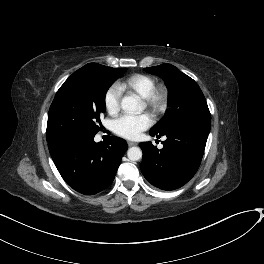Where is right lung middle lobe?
Segmentation results:
<instances>
[{
	"instance_id": "dd1d6c3e",
	"label": "right lung middle lobe",
	"mask_w": 264,
	"mask_h": 264,
	"mask_svg": "<svg viewBox=\"0 0 264 264\" xmlns=\"http://www.w3.org/2000/svg\"><path fill=\"white\" fill-rule=\"evenodd\" d=\"M124 69L89 63L75 71L57 91L48 113L47 142L93 137L101 129L105 95Z\"/></svg>"
}]
</instances>
